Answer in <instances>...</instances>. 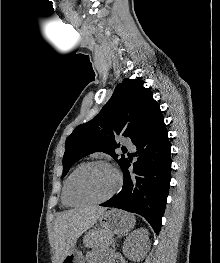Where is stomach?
Returning <instances> with one entry per match:
<instances>
[{"label": "stomach", "instance_id": "0dacf381", "mask_svg": "<svg viewBox=\"0 0 220 263\" xmlns=\"http://www.w3.org/2000/svg\"><path fill=\"white\" fill-rule=\"evenodd\" d=\"M98 221L109 238L114 234L124 235L135 225V217L132 214L118 209L104 211L99 216ZM108 244H106L105 249L108 247ZM62 263H85V259L82 252L74 246L65 256Z\"/></svg>", "mask_w": 220, "mask_h": 263}]
</instances>
